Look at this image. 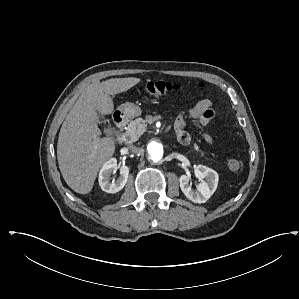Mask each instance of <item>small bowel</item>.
Returning <instances> with one entry per match:
<instances>
[{
  "label": "small bowel",
  "mask_w": 299,
  "mask_h": 299,
  "mask_svg": "<svg viewBox=\"0 0 299 299\" xmlns=\"http://www.w3.org/2000/svg\"><path fill=\"white\" fill-rule=\"evenodd\" d=\"M189 116L201 125H207L214 117L213 103L210 99H202L189 109ZM185 120L180 115L175 121V131L177 140L186 145L190 142V135L185 129ZM204 138L208 143H213L210 134L205 133Z\"/></svg>",
  "instance_id": "1"
}]
</instances>
